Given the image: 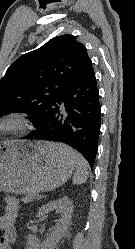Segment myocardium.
I'll return each instance as SVG.
<instances>
[{
  "label": "myocardium",
  "instance_id": "1",
  "mask_svg": "<svg viewBox=\"0 0 135 249\" xmlns=\"http://www.w3.org/2000/svg\"><path fill=\"white\" fill-rule=\"evenodd\" d=\"M32 128L28 116L21 112H12L0 117V136L22 134Z\"/></svg>",
  "mask_w": 135,
  "mask_h": 249
}]
</instances>
